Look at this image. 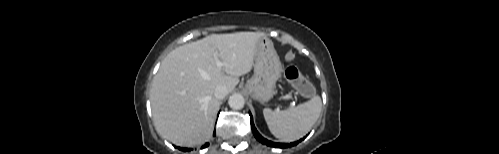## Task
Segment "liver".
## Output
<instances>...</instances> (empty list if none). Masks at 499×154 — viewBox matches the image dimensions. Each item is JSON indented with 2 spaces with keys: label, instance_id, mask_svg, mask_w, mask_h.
I'll list each match as a JSON object with an SVG mask.
<instances>
[{
  "label": "liver",
  "instance_id": "1",
  "mask_svg": "<svg viewBox=\"0 0 499 154\" xmlns=\"http://www.w3.org/2000/svg\"><path fill=\"white\" fill-rule=\"evenodd\" d=\"M263 32L213 34L171 51L152 82L150 100L157 131L178 146H195L212 137L218 85L231 92L250 72ZM217 60L222 67L217 66Z\"/></svg>",
  "mask_w": 499,
  "mask_h": 154
}]
</instances>
